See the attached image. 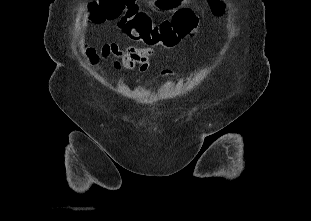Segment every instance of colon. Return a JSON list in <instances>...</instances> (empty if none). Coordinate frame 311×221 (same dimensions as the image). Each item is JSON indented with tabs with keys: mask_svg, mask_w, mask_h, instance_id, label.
I'll return each mask as SVG.
<instances>
[{
	"mask_svg": "<svg viewBox=\"0 0 311 221\" xmlns=\"http://www.w3.org/2000/svg\"><path fill=\"white\" fill-rule=\"evenodd\" d=\"M205 3L208 9H211L213 17L228 16V11L216 0H205ZM94 7L102 10H90L89 15L84 17L86 22L102 26L103 22H114V17H120V32H132L127 34V37L144 41L150 48H172L181 38L195 35L198 29V23L190 11H178L171 19H164L157 25L141 20L148 12L140 9L135 0L95 1ZM87 52L90 56L98 58L99 55H108L111 49L102 46L97 49L90 48Z\"/></svg>",
	"mask_w": 311,
	"mask_h": 221,
	"instance_id": "1",
	"label": "colon"
}]
</instances>
